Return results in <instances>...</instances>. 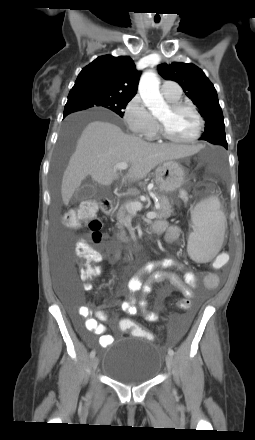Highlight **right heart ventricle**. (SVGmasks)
<instances>
[{
  "instance_id": "right-heart-ventricle-1",
  "label": "right heart ventricle",
  "mask_w": 255,
  "mask_h": 440,
  "mask_svg": "<svg viewBox=\"0 0 255 440\" xmlns=\"http://www.w3.org/2000/svg\"><path fill=\"white\" fill-rule=\"evenodd\" d=\"M169 103H176L180 100V97H165Z\"/></svg>"
}]
</instances>
